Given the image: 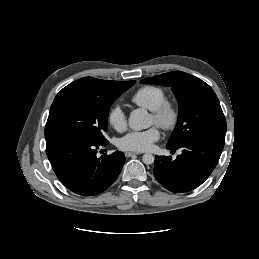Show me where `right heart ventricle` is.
Here are the masks:
<instances>
[{"label": "right heart ventricle", "instance_id": "obj_1", "mask_svg": "<svg viewBox=\"0 0 259 259\" xmlns=\"http://www.w3.org/2000/svg\"><path fill=\"white\" fill-rule=\"evenodd\" d=\"M165 100V91L152 85H146L139 88L131 97L132 103L151 111L155 110Z\"/></svg>", "mask_w": 259, "mask_h": 259}]
</instances>
